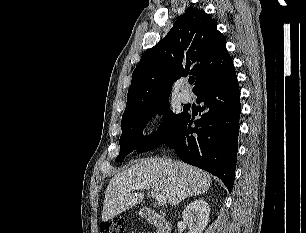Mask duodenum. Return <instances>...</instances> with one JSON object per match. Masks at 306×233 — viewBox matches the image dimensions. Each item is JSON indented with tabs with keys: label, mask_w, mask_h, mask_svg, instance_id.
Wrapping results in <instances>:
<instances>
[{
	"label": "duodenum",
	"mask_w": 306,
	"mask_h": 233,
	"mask_svg": "<svg viewBox=\"0 0 306 233\" xmlns=\"http://www.w3.org/2000/svg\"><path fill=\"white\" fill-rule=\"evenodd\" d=\"M143 217L150 224L154 225L157 233H171V226L167 219L160 216L154 210L150 208H144L142 210Z\"/></svg>",
	"instance_id": "1"
}]
</instances>
